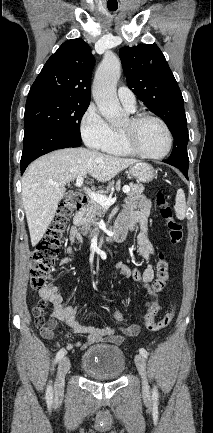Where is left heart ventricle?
I'll return each instance as SVG.
<instances>
[{"mask_svg": "<svg viewBox=\"0 0 213 433\" xmlns=\"http://www.w3.org/2000/svg\"><path fill=\"white\" fill-rule=\"evenodd\" d=\"M130 127L128 120L122 130ZM134 135L139 148L148 154H161L168 145V139L163 127L156 121L145 120L134 130Z\"/></svg>", "mask_w": 213, "mask_h": 433, "instance_id": "1", "label": "left heart ventricle"}]
</instances>
